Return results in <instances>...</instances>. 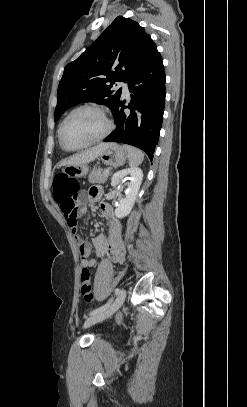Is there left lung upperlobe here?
Masks as SVG:
<instances>
[{"label": "left lung upper lobe", "instance_id": "1", "mask_svg": "<svg viewBox=\"0 0 247 407\" xmlns=\"http://www.w3.org/2000/svg\"><path fill=\"white\" fill-rule=\"evenodd\" d=\"M156 49L151 37L137 22L118 16L101 36L75 61L69 63L59 83L54 120L81 102L108 106L112 112L122 89Z\"/></svg>", "mask_w": 247, "mask_h": 407}]
</instances>
